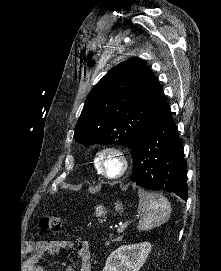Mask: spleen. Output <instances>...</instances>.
Wrapping results in <instances>:
<instances>
[{
    "instance_id": "spleen-1",
    "label": "spleen",
    "mask_w": 221,
    "mask_h": 271,
    "mask_svg": "<svg viewBox=\"0 0 221 271\" xmlns=\"http://www.w3.org/2000/svg\"><path fill=\"white\" fill-rule=\"evenodd\" d=\"M139 203L137 207L140 215L137 225L140 231L159 227L161 223H166L171 215V205L167 197L160 193H152L145 189H138Z\"/></svg>"
}]
</instances>
